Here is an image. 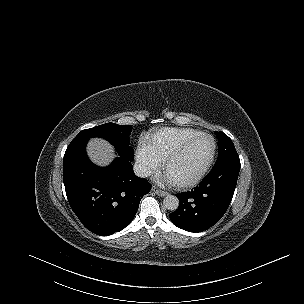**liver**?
Here are the masks:
<instances>
[{
    "instance_id": "liver-1",
    "label": "liver",
    "mask_w": 304,
    "mask_h": 304,
    "mask_svg": "<svg viewBox=\"0 0 304 304\" xmlns=\"http://www.w3.org/2000/svg\"><path fill=\"white\" fill-rule=\"evenodd\" d=\"M87 153L91 161L99 166L109 165L116 157L112 145L100 138L90 140Z\"/></svg>"
}]
</instances>
